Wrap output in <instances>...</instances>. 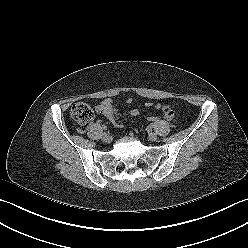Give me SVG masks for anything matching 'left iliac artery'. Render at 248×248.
I'll return each instance as SVG.
<instances>
[{"instance_id": "left-iliac-artery-1", "label": "left iliac artery", "mask_w": 248, "mask_h": 248, "mask_svg": "<svg viewBox=\"0 0 248 248\" xmlns=\"http://www.w3.org/2000/svg\"><path fill=\"white\" fill-rule=\"evenodd\" d=\"M152 127H153V125L151 124V125H150V128H152Z\"/></svg>"}]
</instances>
